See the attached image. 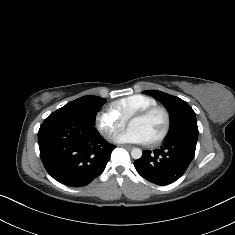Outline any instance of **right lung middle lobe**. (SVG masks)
<instances>
[{"instance_id":"1","label":"right lung middle lobe","mask_w":235,"mask_h":235,"mask_svg":"<svg viewBox=\"0 0 235 235\" xmlns=\"http://www.w3.org/2000/svg\"><path fill=\"white\" fill-rule=\"evenodd\" d=\"M105 101V98L98 96H83L67 103L53 114L72 117L88 125L94 126L96 112L100 109Z\"/></svg>"}]
</instances>
